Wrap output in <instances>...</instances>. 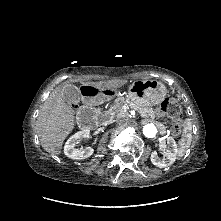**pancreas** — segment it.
Here are the masks:
<instances>
[{
	"label": "pancreas",
	"mask_w": 221,
	"mask_h": 221,
	"mask_svg": "<svg viewBox=\"0 0 221 221\" xmlns=\"http://www.w3.org/2000/svg\"><path fill=\"white\" fill-rule=\"evenodd\" d=\"M127 104L136 109L143 117H150L152 119L156 117L155 111L152 107L138 106L135 103L131 102L129 99H125L121 96L114 101V104L111 105V107L107 111H105L104 113H100L102 120L105 123H109L114 118L125 117L127 115V112L123 109V106Z\"/></svg>",
	"instance_id": "pancreas-1"
}]
</instances>
